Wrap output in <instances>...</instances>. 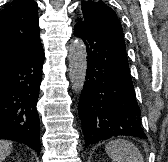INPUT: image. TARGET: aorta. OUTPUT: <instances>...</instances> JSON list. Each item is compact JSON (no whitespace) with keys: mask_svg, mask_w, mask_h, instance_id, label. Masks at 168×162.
<instances>
[{"mask_svg":"<svg viewBox=\"0 0 168 162\" xmlns=\"http://www.w3.org/2000/svg\"><path fill=\"white\" fill-rule=\"evenodd\" d=\"M68 60L72 89L79 93L83 89L87 69L86 46L81 39L76 38L71 41Z\"/></svg>","mask_w":168,"mask_h":162,"instance_id":"aorta-1","label":"aorta"}]
</instances>
